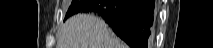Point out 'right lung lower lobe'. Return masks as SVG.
<instances>
[{
	"label": "right lung lower lobe",
	"instance_id": "right-lung-lower-lobe-1",
	"mask_svg": "<svg viewBox=\"0 0 213 48\" xmlns=\"http://www.w3.org/2000/svg\"><path fill=\"white\" fill-rule=\"evenodd\" d=\"M155 0H88L80 12L102 17L132 48H148Z\"/></svg>",
	"mask_w": 213,
	"mask_h": 48
}]
</instances>
